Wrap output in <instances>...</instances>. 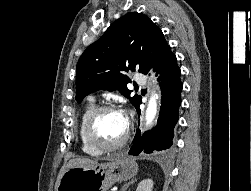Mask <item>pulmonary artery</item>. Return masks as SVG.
Here are the masks:
<instances>
[{
  "instance_id": "1",
  "label": "pulmonary artery",
  "mask_w": 251,
  "mask_h": 191,
  "mask_svg": "<svg viewBox=\"0 0 251 191\" xmlns=\"http://www.w3.org/2000/svg\"><path fill=\"white\" fill-rule=\"evenodd\" d=\"M134 82H138V86H145V73H134ZM89 99L95 100L93 96H88L86 102Z\"/></svg>"
}]
</instances>
